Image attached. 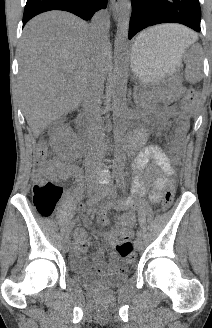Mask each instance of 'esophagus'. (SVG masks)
I'll list each match as a JSON object with an SVG mask.
<instances>
[{"mask_svg":"<svg viewBox=\"0 0 212 328\" xmlns=\"http://www.w3.org/2000/svg\"><path fill=\"white\" fill-rule=\"evenodd\" d=\"M111 10L114 16V19L117 20L119 7H120V0H110Z\"/></svg>","mask_w":212,"mask_h":328,"instance_id":"obj_1","label":"esophagus"}]
</instances>
